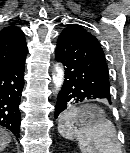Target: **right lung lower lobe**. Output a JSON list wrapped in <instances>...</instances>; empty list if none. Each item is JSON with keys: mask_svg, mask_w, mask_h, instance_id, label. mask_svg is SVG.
<instances>
[{"mask_svg": "<svg viewBox=\"0 0 130 153\" xmlns=\"http://www.w3.org/2000/svg\"><path fill=\"white\" fill-rule=\"evenodd\" d=\"M25 59L0 66V126L12 131L17 138L20 132L19 104L24 87Z\"/></svg>", "mask_w": 130, "mask_h": 153, "instance_id": "obj_1", "label": "right lung lower lobe"}]
</instances>
